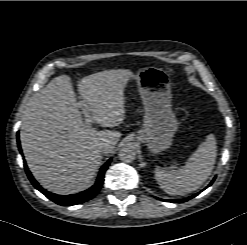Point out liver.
I'll return each instance as SVG.
<instances>
[{
	"instance_id": "1",
	"label": "liver",
	"mask_w": 247,
	"mask_h": 245,
	"mask_svg": "<svg viewBox=\"0 0 247 245\" xmlns=\"http://www.w3.org/2000/svg\"><path fill=\"white\" fill-rule=\"evenodd\" d=\"M133 77L127 69H116L80 80L79 93L95 122L103 127L123 122L124 90ZM80 107L71 78L61 75L34 97L22 119L20 140L27 165L36 180L56 194L89 187L102 161L99 145L111 142L113 150L121 137L117 131L87 127Z\"/></svg>"
}]
</instances>
